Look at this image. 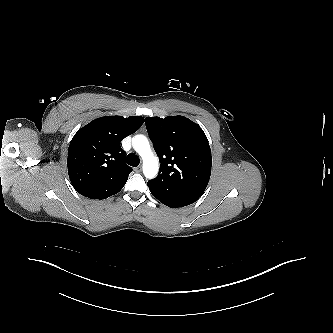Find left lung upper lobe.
Returning <instances> with one entry per match:
<instances>
[{
  "instance_id": "5c2ea615",
  "label": "left lung upper lobe",
  "mask_w": 333,
  "mask_h": 333,
  "mask_svg": "<svg viewBox=\"0 0 333 333\" xmlns=\"http://www.w3.org/2000/svg\"><path fill=\"white\" fill-rule=\"evenodd\" d=\"M145 120L161 163L157 177L148 181L149 189L159 197L178 193L199 198L207 187L212 166L211 149L203 130L184 116Z\"/></svg>"
}]
</instances>
